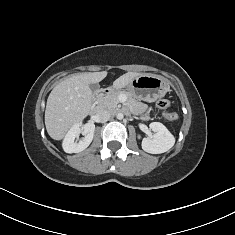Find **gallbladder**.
<instances>
[{
  "label": "gallbladder",
  "instance_id": "1",
  "mask_svg": "<svg viewBox=\"0 0 235 235\" xmlns=\"http://www.w3.org/2000/svg\"><path fill=\"white\" fill-rule=\"evenodd\" d=\"M90 88L94 92L99 88V86H98V84L92 83V84H90Z\"/></svg>",
  "mask_w": 235,
  "mask_h": 235
}]
</instances>
